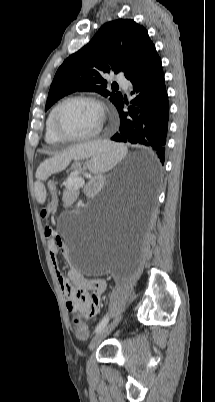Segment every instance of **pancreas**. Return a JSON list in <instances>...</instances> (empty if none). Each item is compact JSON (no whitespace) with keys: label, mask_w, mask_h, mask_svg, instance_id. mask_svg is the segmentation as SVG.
<instances>
[{"label":"pancreas","mask_w":215,"mask_h":402,"mask_svg":"<svg viewBox=\"0 0 215 402\" xmlns=\"http://www.w3.org/2000/svg\"><path fill=\"white\" fill-rule=\"evenodd\" d=\"M66 190L69 192L78 191L79 187L77 185H67Z\"/></svg>","instance_id":"cf45deb5"}]
</instances>
